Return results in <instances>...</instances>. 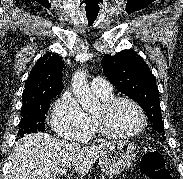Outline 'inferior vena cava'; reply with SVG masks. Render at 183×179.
I'll use <instances>...</instances> for the list:
<instances>
[{
  "label": "inferior vena cava",
  "mask_w": 183,
  "mask_h": 179,
  "mask_svg": "<svg viewBox=\"0 0 183 179\" xmlns=\"http://www.w3.org/2000/svg\"><path fill=\"white\" fill-rule=\"evenodd\" d=\"M72 145H73V146H76L77 144L73 143Z\"/></svg>",
  "instance_id": "obj_1"
}]
</instances>
